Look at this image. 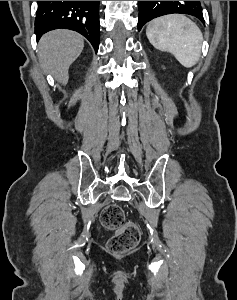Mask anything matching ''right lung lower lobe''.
Wrapping results in <instances>:
<instances>
[{
    "mask_svg": "<svg viewBox=\"0 0 237 300\" xmlns=\"http://www.w3.org/2000/svg\"><path fill=\"white\" fill-rule=\"evenodd\" d=\"M66 28L85 36L98 51L100 40L99 1H38L37 41L54 29Z\"/></svg>",
    "mask_w": 237,
    "mask_h": 300,
    "instance_id": "obj_1",
    "label": "right lung lower lobe"
}]
</instances>
